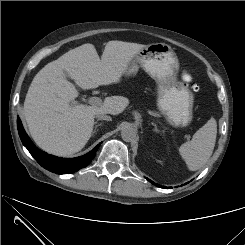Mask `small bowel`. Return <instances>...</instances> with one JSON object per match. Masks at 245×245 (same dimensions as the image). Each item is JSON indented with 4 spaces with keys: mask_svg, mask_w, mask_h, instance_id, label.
I'll return each instance as SVG.
<instances>
[{
    "mask_svg": "<svg viewBox=\"0 0 245 245\" xmlns=\"http://www.w3.org/2000/svg\"><path fill=\"white\" fill-rule=\"evenodd\" d=\"M181 76H182V79L184 81H189L190 80V75L188 73H186V72H183Z\"/></svg>",
    "mask_w": 245,
    "mask_h": 245,
    "instance_id": "obj_1",
    "label": "small bowel"
}]
</instances>
